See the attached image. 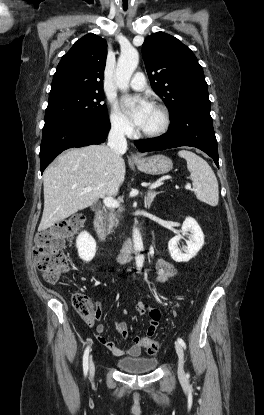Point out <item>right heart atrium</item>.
<instances>
[{"label":"right heart atrium","instance_id":"d8ad5b80","mask_svg":"<svg viewBox=\"0 0 264 415\" xmlns=\"http://www.w3.org/2000/svg\"><path fill=\"white\" fill-rule=\"evenodd\" d=\"M110 122L112 129L121 135H131L132 126L125 115L119 110V108L112 104L110 113Z\"/></svg>","mask_w":264,"mask_h":415}]
</instances>
